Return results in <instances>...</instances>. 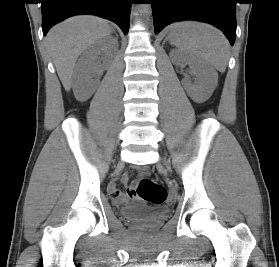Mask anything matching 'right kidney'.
Wrapping results in <instances>:
<instances>
[{"mask_svg":"<svg viewBox=\"0 0 279 267\" xmlns=\"http://www.w3.org/2000/svg\"><path fill=\"white\" fill-rule=\"evenodd\" d=\"M112 40L110 43L102 39L88 47L83 54L74 76V93L78 100L86 101L94 93L96 85L92 73L97 71L96 60L103 51L111 53L117 50L118 41L115 38Z\"/></svg>","mask_w":279,"mask_h":267,"instance_id":"right-kidney-1","label":"right kidney"}]
</instances>
